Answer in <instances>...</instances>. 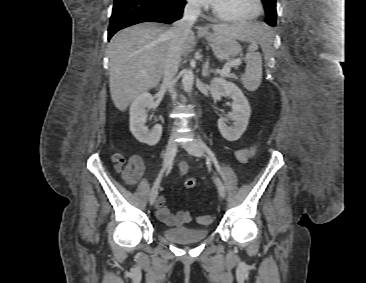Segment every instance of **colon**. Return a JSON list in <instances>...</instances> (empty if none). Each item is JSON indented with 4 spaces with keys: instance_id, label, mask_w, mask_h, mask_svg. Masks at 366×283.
Instances as JSON below:
<instances>
[{
    "instance_id": "obj_1",
    "label": "colon",
    "mask_w": 366,
    "mask_h": 283,
    "mask_svg": "<svg viewBox=\"0 0 366 283\" xmlns=\"http://www.w3.org/2000/svg\"><path fill=\"white\" fill-rule=\"evenodd\" d=\"M196 184L197 180L194 177H189L184 181V186L187 189H193L196 186ZM197 220L201 224H207L211 222V217L208 215L199 216Z\"/></svg>"
}]
</instances>
